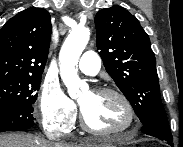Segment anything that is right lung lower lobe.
I'll return each instance as SVG.
<instances>
[{
  "label": "right lung lower lobe",
  "instance_id": "right-lung-lower-lobe-1",
  "mask_svg": "<svg viewBox=\"0 0 183 147\" xmlns=\"http://www.w3.org/2000/svg\"><path fill=\"white\" fill-rule=\"evenodd\" d=\"M33 107L28 104L0 106V132L24 131L35 126Z\"/></svg>",
  "mask_w": 183,
  "mask_h": 147
}]
</instances>
